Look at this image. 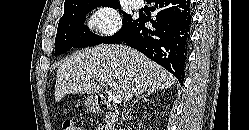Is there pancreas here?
Here are the masks:
<instances>
[{"label":"pancreas","instance_id":"cf45deb5","mask_svg":"<svg viewBox=\"0 0 249 130\" xmlns=\"http://www.w3.org/2000/svg\"><path fill=\"white\" fill-rule=\"evenodd\" d=\"M105 121H106V126H105V130H112V124H111V122H110V118L109 117H107L106 119H105Z\"/></svg>","mask_w":249,"mask_h":130}]
</instances>
